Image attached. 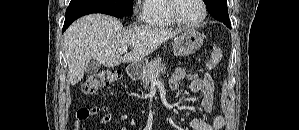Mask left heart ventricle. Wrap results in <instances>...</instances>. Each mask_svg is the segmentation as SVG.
I'll return each mask as SVG.
<instances>
[{"label": "left heart ventricle", "instance_id": "obj_1", "mask_svg": "<svg viewBox=\"0 0 299 130\" xmlns=\"http://www.w3.org/2000/svg\"><path fill=\"white\" fill-rule=\"evenodd\" d=\"M176 13L184 21L193 22L200 18L202 8L198 0H177Z\"/></svg>", "mask_w": 299, "mask_h": 130}]
</instances>
